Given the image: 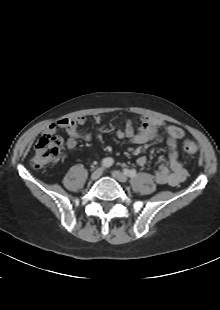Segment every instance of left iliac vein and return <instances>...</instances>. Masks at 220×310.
<instances>
[{
  "mask_svg": "<svg viewBox=\"0 0 220 310\" xmlns=\"http://www.w3.org/2000/svg\"><path fill=\"white\" fill-rule=\"evenodd\" d=\"M112 177L122 183L126 182L128 179L124 173L117 171V170L112 172Z\"/></svg>",
  "mask_w": 220,
  "mask_h": 310,
  "instance_id": "left-iliac-vein-1",
  "label": "left iliac vein"
}]
</instances>
